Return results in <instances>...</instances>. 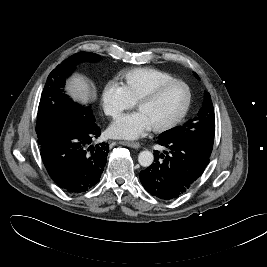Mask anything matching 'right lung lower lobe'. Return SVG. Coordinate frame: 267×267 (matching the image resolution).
I'll list each match as a JSON object with an SVG mask.
<instances>
[{
    "instance_id": "1",
    "label": "right lung lower lobe",
    "mask_w": 267,
    "mask_h": 267,
    "mask_svg": "<svg viewBox=\"0 0 267 267\" xmlns=\"http://www.w3.org/2000/svg\"><path fill=\"white\" fill-rule=\"evenodd\" d=\"M100 134L93 121L78 128L63 126L40 144L47 172L64 191L86 192L99 182L109 152L108 143H95Z\"/></svg>"
}]
</instances>
